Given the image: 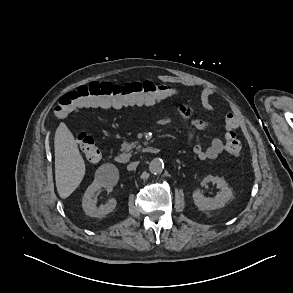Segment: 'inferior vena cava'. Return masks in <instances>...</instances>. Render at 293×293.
<instances>
[{
	"label": "inferior vena cava",
	"instance_id": "inferior-vena-cava-1",
	"mask_svg": "<svg viewBox=\"0 0 293 293\" xmlns=\"http://www.w3.org/2000/svg\"><path fill=\"white\" fill-rule=\"evenodd\" d=\"M138 164H139L138 161L130 163V164L127 166V170H129V171L135 170L136 167L138 166Z\"/></svg>",
	"mask_w": 293,
	"mask_h": 293
}]
</instances>
